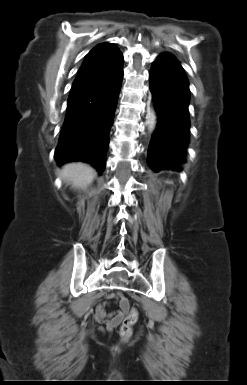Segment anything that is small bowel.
<instances>
[{
    "label": "small bowel",
    "instance_id": "obj_1",
    "mask_svg": "<svg viewBox=\"0 0 247 385\" xmlns=\"http://www.w3.org/2000/svg\"><path fill=\"white\" fill-rule=\"evenodd\" d=\"M108 300H113L120 305V310L108 312L106 310L108 302L99 303L95 309L94 319L96 322L104 324L106 329L112 330L117 327L125 316V306L128 305V301L123 297L121 291L111 292L106 297ZM100 331H104V327H99Z\"/></svg>",
    "mask_w": 247,
    "mask_h": 385
}]
</instances>
